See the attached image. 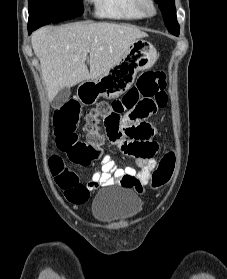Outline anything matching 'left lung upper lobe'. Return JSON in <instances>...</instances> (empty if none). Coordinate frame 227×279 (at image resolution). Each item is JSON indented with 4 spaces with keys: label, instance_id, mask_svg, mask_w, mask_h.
<instances>
[{
    "label": "left lung upper lobe",
    "instance_id": "1",
    "mask_svg": "<svg viewBox=\"0 0 227 279\" xmlns=\"http://www.w3.org/2000/svg\"><path fill=\"white\" fill-rule=\"evenodd\" d=\"M162 11L164 23L169 32L173 35H179V24L176 19V9L174 0H155Z\"/></svg>",
    "mask_w": 227,
    "mask_h": 279
}]
</instances>
